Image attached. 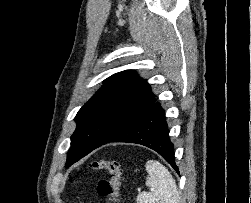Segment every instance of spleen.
<instances>
[{
  "label": "spleen",
  "instance_id": "obj_1",
  "mask_svg": "<svg viewBox=\"0 0 251 203\" xmlns=\"http://www.w3.org/2000/svg\"><path fill=\"white\" fill-rule=\"evenodd\" d=\"M145 168L150 192L138 194L137 203H179L177 186L168 169L155 160L147 161Z\"/></svg>",
  "mask_w": 251,
  "mask_h": 203
}]
</instances>
